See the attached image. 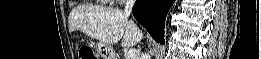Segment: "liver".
Instances as JSON below:
<instances>
[{"label":"liver","mask_w":261,"mask_h":59,"mask_svg":"<svg viewBox=\"0 0 261 59\" xmlns=\"http://www.w3.org/2000/svg\"><path fill=\"white\" fill-rule=\"evenodd\" d=\"M76 30L107 45L122 39L123 47L134 46L143 38L142 31L128 20L125 12L115 8L73 10L69 17V31Z\"/></svg>","instance_id":"6515ba94"}]
</instances>
